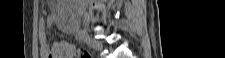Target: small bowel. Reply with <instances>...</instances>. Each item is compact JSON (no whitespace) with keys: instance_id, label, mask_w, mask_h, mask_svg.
I'll use <instances>...</instances> for the list:
<instances>
[{"instance_id":"c3829d8e","label":"small bowel","mask_w":225,"mask_h":58,"mask_svg":"<svg viewBox=\"0 0 225 58\" xmlns=\"http://www.w3.org/2000/svg\"><path fill=\"white\" fill-rule=\"evenodd\" d=\"M56 5V2H51L53 8H55ZM54 23V16L47 17L45 21L47 27H52ZM42 52L44 58H74L75 46L68 42H54L51 46L45 45Z\"/></svg>"}]
</instances>
